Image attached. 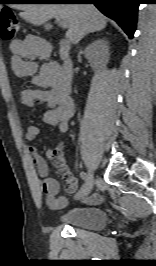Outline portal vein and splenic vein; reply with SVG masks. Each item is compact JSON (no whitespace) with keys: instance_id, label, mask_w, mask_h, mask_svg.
Instances as JSON below:
<instances>
[{"instance_id":"portal-vein-and-splenic-vein-1","label":"portal vein and splenic vein","mask_w":156,"mask_h":266,"mask_svg":"<svg viewBox=\"0 0 156 266\" xmlns=\"http://www.w3.org/2000/svg\"><path fill=\"white\" fill-rule=\"evenodd\" d=\"M57 22L62 28H67V23L62 19H57Z\"/></svg>"}]
</instances>
